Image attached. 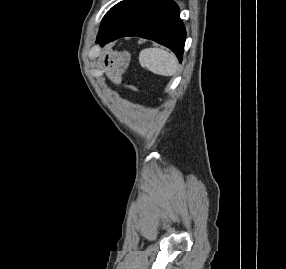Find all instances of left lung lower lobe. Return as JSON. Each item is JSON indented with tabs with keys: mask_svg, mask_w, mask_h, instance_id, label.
Returning a JSON list of instances; mask_svg holds the SVG:
<instances>
[{
	"mask_svg": "<svg viewBox=\"0 0 286 269\" xmlns=\"http://www.w3.org/2000/svg\"><path fill=\"white\" fill-rule=\"evenodd\" d=\"M124 36H139L156 41L182 60L186 31L179 8L171 0H143L115 26L100 30L97 42L104 45Z\"/></svg>",
	"mask_w": 286,
	"mask_h": 269,
	"instance_id": "0a47b994",
	"label": "left lung lower lobe"
}]
</instances>
